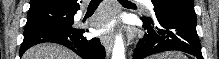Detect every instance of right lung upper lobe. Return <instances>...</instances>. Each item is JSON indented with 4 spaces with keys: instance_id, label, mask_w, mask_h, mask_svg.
<instances>
[{
    "instance_id": "obj_1",
    "label": "right lung upper lobe",
    "mask_w": 219,
    "mask_h": 59,
    "mask_svg": "<svg viewBox=\"0 0 219 59\" xmlns=\"http://www.w3.org/2000/svg\"><path fill=\"white\" fill-rule=\"evenodd\" d=\"M79 7L77 0H30V9L32 11H42L47 9H64L74 11Z\"/></svg>"
}]
</instances>
